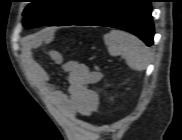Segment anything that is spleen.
<instances>
[{
	"instance_id": "spleen-1",
	"label": "spleen",
	"mask_w": 182,
	"mask_h": 140,
	"mask_svg": "<svg viewBox=\"0 0 182 140\" xmlns=\"http://www.w3.org/2000/svg\"><path fill=\"white\" fill-rule=\"evenodd\" d=\"M104 42L110 55H122L133 70L143 71L150 63L151 54L148 47L132 34L111 30L104 35Z\"/></svg>"
}]
</instances>
